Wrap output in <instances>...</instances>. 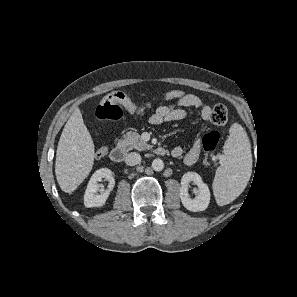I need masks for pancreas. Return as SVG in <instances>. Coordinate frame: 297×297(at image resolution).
Listing matches in <instances>:
<instances>
[{"label":"pancreas","mask_w":297,"mask_h":297,"mask_svg":"<svg viewBox=\"0 0 297 297\" xmlns=\"http://www.w3.org/2000/svg\"><path fill=\"white\" fill-rule=\"evenodd\" d=\"M119 145L126 151L137 149L139 151L150 149L152 146L143 141L136 132H128L119 140Z\"/></svg>","instance_id":"pancreas-1"}]
</instances>
